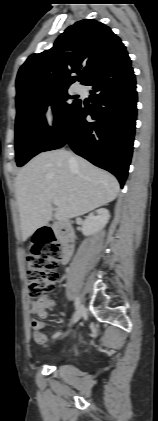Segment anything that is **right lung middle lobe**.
Segmentation results:
<instances>
[{"mask_svg": "<svg viewBox=\"0 0 158 421\" xmlns=\"http://www.w3.org/2000/svg\"><path fill=\"white\" fill-rule=\"evenodd\" d=\"M67 89L40 94L16 104L15 124L16 162L23 166L51 141L57 130L78 107L80 100L70 102ZM52 105L55 114L54 126L49 127L44 114Z\"/></svg>", "mask_w": 158, "mask_h": 421, "instance_id": "1", "label": "right lung middle lobe"}]
</instances>
